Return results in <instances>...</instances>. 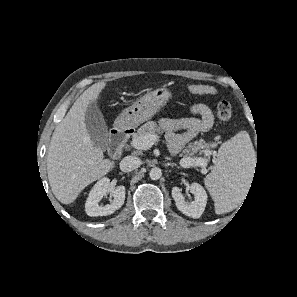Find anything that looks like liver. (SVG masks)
Wrapping results in <instances>:
<instances>
[{"label": "liver", "instance_id": "obj_1", "mask_svg": "<svg viewBox=\"0 0 297 297\" xmlns=\"http://www.w3.org/2000/svg\"><path fill=\"white\" fill-rule=\"evenodd\" d=\"M105 86L99 82L85 90L53 132L47 172L52 192L63 204L73 203L85 187L114 167L112 161L103 158L85 124L88 104L99 99Z\"/></svg>", "mask_w": 297, "mask_h": 297}]
</instances>
